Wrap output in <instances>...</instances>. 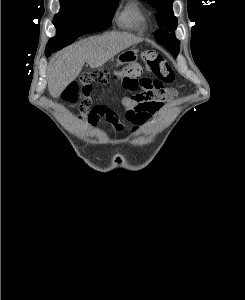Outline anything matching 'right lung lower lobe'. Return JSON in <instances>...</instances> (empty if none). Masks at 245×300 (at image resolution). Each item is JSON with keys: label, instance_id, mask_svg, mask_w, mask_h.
<instances>
[{"label": "right lung lower lobe", "instance_id": "1", "mask_svg": "<svg viewBox=\"0 0 245 300\" xmlns=\"http://www.w3.org/2000/svg\"><path fill=\"white\" fill-rule=\"evenodd\" d=\"M81 28H82V35L86 34V33L98 32V31L107 29L102 24L101 21H97V20H85L81 24ZM53 52H55V51L45 49V54L47 57H49L51 55V53H53Z\"/></svg>", "mask_w": 245, "mask_h": 300}]
</instances>
